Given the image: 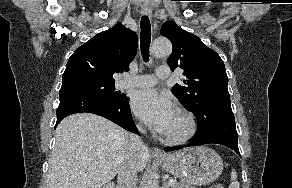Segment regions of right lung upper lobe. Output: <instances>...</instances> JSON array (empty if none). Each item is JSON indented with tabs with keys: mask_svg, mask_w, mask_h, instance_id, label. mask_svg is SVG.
Instances as JSON below:
<instances>
[{
	"mask_svg": "<svg viewBox=\"0 0 292 188\" xmlns=\"http://www.w3.org/2000/svg\"><path fill=\"white\" fill-rule=\"evenodd\" d=\"M137 43V34L119 22L75 50L67 62L62 80L85 77L115 81L114 73L128 70Z\"/></svg>",
	"mask_w": 292,
	"mask_h": 188,
	"instance_id": "cb5924a9",
	"label": "right lung upper lobe"
}]
</instances>
